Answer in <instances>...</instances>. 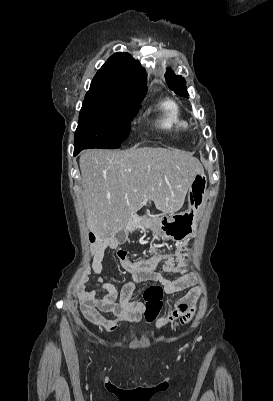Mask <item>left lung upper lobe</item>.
<instances>
[{"label":"left lung upper lobe","mask_w":273,"mask_h":401,"mask_svg":"<svg viewBox=\"0 0 273 401\" xmlns=\"http://www.w3.org/2000/svg\"><path fill=\"white\" fill-rule=\"evenodd\" d=\"M166 83L168 87L173 90L177 95L187 97L186 81L182 76H177L170 69L165 74Z\"/></svg>","instance_id":"obj_1"}]
</instances>
